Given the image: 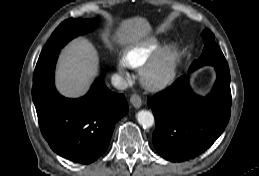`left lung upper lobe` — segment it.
<instances>
[{"label":"left lung upper lobe","mask_w":259,"mask_h":176,"mask_svg":"<svg viewBox=\"0 0 259 176\" xmlns=\"http://www.w3.org/2000/svg\"><path fill=\"white\" fill-rule=\"evenodd\" d=\"M202 38L205 43L203 52L199 59L192 63L189 70L193 71L203 65L228 68L227 61L214 40V34L209 29H205L202 32Z\"/></svg>","instance_id":"5c2ea615"}]
</instances>
